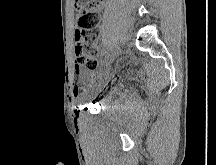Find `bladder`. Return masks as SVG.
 <instances>
[{
  "instance_id": "bladder-1",
  "label": "bladder",
  "mask_w": 216,
  "mask_h": 165,
  "mask_svg": "<svg viewBox=\"0 0 216 165\" xmlns=\"http://www.w3.org/2000/svg\"><path fill=\"white\" fill-rule=\"evenodd\" d=\"M104 74L92 75L91 85L88 88L87 99L100 100L101 97H108L109 94H118V89H104L105 86H113V81Z\"/></svg>"
}]
</instances>
